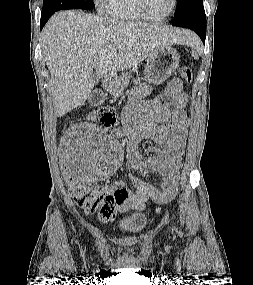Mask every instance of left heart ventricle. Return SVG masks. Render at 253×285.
I'll return each instance as SVG.
<instances>
[{
    "instance_id": "1",
    "label": "left heart ventricle",
    "mask_w": 253,
    "mask_h": 285,
    "mask_svg": "<svg viewBox=\"0 0 253 285\" xmlns=\"http://www.w3.org/2000/svg\"><path fill=\"white\" fill-rule=\"evenodd\" d=\"M173 0H144V7L148 15L162 17L172 8Z\"/></svg>"
}]
</instances>
